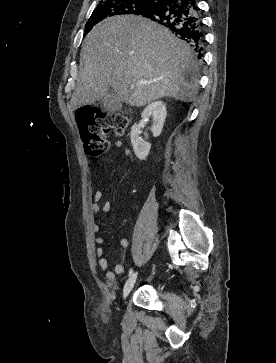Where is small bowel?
<instances>
[{"label": "small bowel", "mask_w": 276, "mask_h": 363, "mask_svg": "<svg viewBox=\"0 0 276 363\" xmlns=\"http://www.w3.org/2000/svg\"><path fill=\"white\" fill-rule=\"evenodd\" d=\"M121 147H122V141L117 140L113 143V148L118 149ZM123 152L129 161L134 160L133 155L129 149L125 148ZM109 209H110V204L108 201H105L103 199V191L99 187L94 194V202L90 206L91 214H92V216H94L101 212H108ZM91 228H92V232L95 234V243L98 245V247L96 248V256L98 259L99 267H100L102 273L104 274L107 282L109 284H113L116 281V278L118 275L124 274L126 272V267L122 264H117V265H115L114 270L110 269L108 261L104 255V249L101 247V245L104 244V238L99 235L100 226L93 221ZM128 244L129 243H128L127 239H121L119 241V246L121 248H124V249L127 248Z\"/></svg>", "instance_id": "c3829d8e"}]
</instances>
